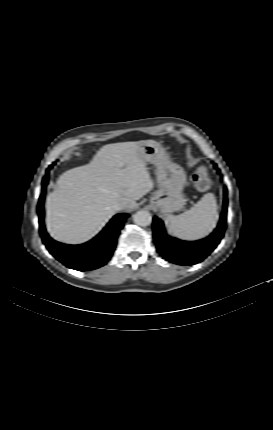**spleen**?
<instances>
[{
  "label": "spleen",
  "mask_w": 273,
  "mask_h": 430,
  "mask_svg": "<svg viewBox=\"0 0 273 430\" xmlns=\"http://www.w3.org/2000/svg\"><path fill=\"white\" fill-rule=\"evenodd\" d=\"M216 198L213 193L205 194L200 201L184 213L165 219L171 233L179 239L195 241L209 235L217 222Z\"/></svg>",
  "instance_id": "1"
}]
</instances>
